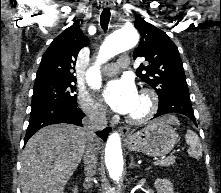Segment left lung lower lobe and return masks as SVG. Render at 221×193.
<instances>
[{
  "mask_svg": "<svg viewBox=\"0 0 221 193\" xmlns=\"http://www.w3.org/2000/svg\"><path fill=\"white\" fill-rule=\"evenodd\" d=\"M173 112L186 115L196 125V119L191 105L189 92L179 91L163 102L159 103L157 114L154 117H159L161 115Z\"/></svg>",
  "mask_w": 221,
  "mask_h": 193,
  "instance_id": "left-lung-lower-lobe-1",
  "label": "left lung lower lobe"
}]
</instances>
